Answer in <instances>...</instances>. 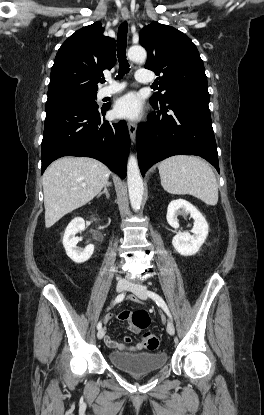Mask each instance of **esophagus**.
I'll return each instance as SVG.
<instances>
[{"mask_svg":"<svg viewBox=\"0 0 264 415\" xmlns=\"http://www.w3.org/2000/svg\"><path fill=\"white\" fill-rule=\"evenodd\" d=\"M128 17H129V12L128 11L122 12V18L123 19H127ZM128 130H129L130 139L134 143L135 139H136V131H137L136 123L133 122V121H129L128 122Z\"/></svg>","mask_w":264,"mask_h":415,"instance_id":"34e87169","label":"esophagus"}]
</instances>
